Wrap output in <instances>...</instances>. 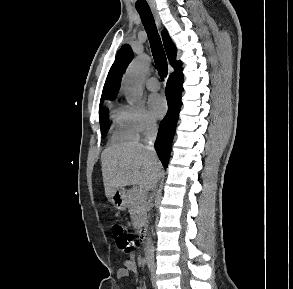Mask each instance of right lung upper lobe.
<instances>
[{
	"instance_id": "obj_1",
	"label": "right lung upper lobe",
	"mask_w": 293,
	"mask_h": 289,
	"mask_svg": "<svg viewBox=\"0 0 293 289\" xmlns=\"http://www.w3.org/2000/svg\"><path fill=\"white\" fill-rule=\"evenodd\" d=\"M162 38H163V44L167 53V57L171 63V65L174 67V72L171 73V75L176 76H183L182 74V68H181V61H176V54L177 49L171 40L170 36L168 35V32L166 29L162 31ZM133 59V51L129 45H124L121 47V49L118 51L115 61L108 73L102 96L101 101H104V99H111L115 98L117 96V93L120 88V83L122 79L123 72L129 65V63Z\"/></svg>"
}]
</instances>
